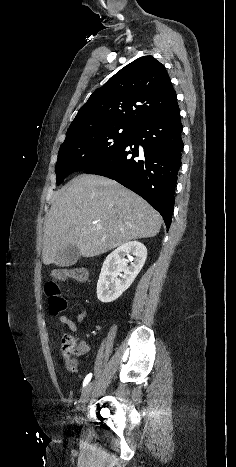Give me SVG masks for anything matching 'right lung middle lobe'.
Wrapping results in <instances>:
<instances>
[{"label": "right lung middle lobe", "mask_w": 236, "mask_h": 467, "mask_svg": "<svg viewBox=\"0 0 236 467\" xmlns=\"http://www.w3.org/2000/svg\"><path fill=\"white\" fill-rule=\"evenodd\" d=\"M133 130V127L114 125L67 135L55 166L57 185L69 174L84 171L108 158L126 143Z\"/></svg>", "instance_id": "right-lung-middle-lobe-1"}]
</instances>
